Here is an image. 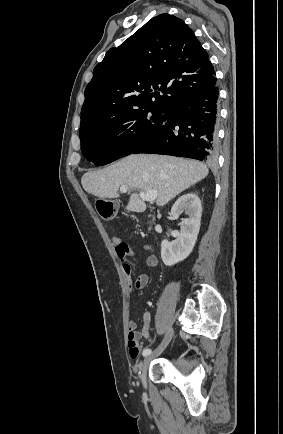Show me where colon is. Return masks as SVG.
Instances as JSON below:
<instances>
[{
    "label": "colon",
    "instance_id": "1",
    "mask_svg": "<svg viewBox=\"0 0 283 434\" xmlns=\"http://www.w3.org/2000/svg\"><path fill=\"white\" fill-rule=\"evenodd\" d=\"M99 215L105 220H112L117 215V204L111 199H99L96 202Z\"/></svg>",
    "mask_w": 283,
    "mask_h": 434
}]
</instances>
